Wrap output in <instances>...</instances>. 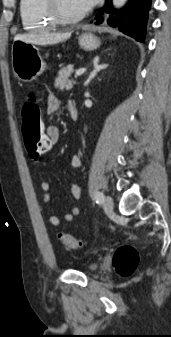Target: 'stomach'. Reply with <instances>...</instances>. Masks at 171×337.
Listing matches in <instances>:
<instances>
[{"mask_svg": "<svg viewBox=\"0 0 171 337\" xmlns=\"http://www.w3.org/2000/svg\"><path fill=\"white\" fill-rule=\"evenodd\" d=\"M79 44L85 50H94L100 46V40L91 33H83L79 37ZM11 56L13 73L23 82L35 80L46 68L39 49L32 43L14 41Z\"/></svg>", "mask_w": 171, "mask_h": 337, "instance_id": "1", "label": "stomach"}]
</instances>
